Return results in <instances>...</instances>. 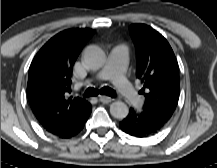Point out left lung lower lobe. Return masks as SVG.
<instances>
[{
	"label": "left lung lower lobe",
	"instance_id": "0a47b994",
	"mask_svg": "<svg viewBox=\"0 0 217 168\" xmlns=\"http://www.w3.org/2000/svg\"><path fill=\"white\" fill-rule=\"evenodd\" d=\"M168 121L156 115L137 112L131 109L119 123L125 133L135 137H147L160 131Z\"/></svg>",
	"mask_w": 217,
	"mask_h": 168
}]
</instances>
